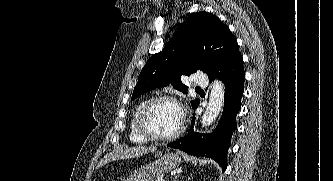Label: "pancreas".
<instances>
[{"label":"pancreas","mask_w":333,"mask_h":181,"mask_svg":"<svg viewBox=\"0 0 333 181\" xmlns=\"http://www.w3.org/2000/svg\"><path fill=\"white\" fill-rule=\"evenodd\" d=\"M159 180V178H157L155 181H158Z\"/></svg>","instance_id":"pancreas-1"}]
</instances>
